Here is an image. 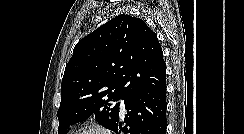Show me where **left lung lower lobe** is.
<instances>
[{
    "instance_id": "1",
    "label": "left lung lower lobe",
    "mask_w": 244,
    "mask_h": 134,
    "mask_svg": "<svg viewBox=\"0 0 244 134\" xmlns=\"http://www.w3.org/2000/svg\"><path fill=\"white\" fill-rule=\"evenodd\" d=\"M125 126L119 114L110 130L125 134H166V84L129 95L125 100Z\"/></svg>"
}]
</instances>
